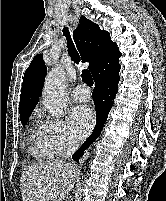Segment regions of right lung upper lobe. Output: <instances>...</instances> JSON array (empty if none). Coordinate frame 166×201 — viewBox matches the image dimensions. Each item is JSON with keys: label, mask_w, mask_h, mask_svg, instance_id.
Returning <instances> with one entry per match:
<instances>
[{"label": "right lung upper lobe", "mask_w": 166, "mask_h": 201, "mask_svg": "<svg viewBox=\"0 0 166 201\" xmlns=\"http://www.w3.org/2000/svg\"><path fill=\"white\" fill-rule=\"evenodd\" d=\"M83 62H89V70L95 79L110 64L118 63L121 52L111 41L109 32L82 16L73 33ZM46 66L42 55H36L25 71L19 104L20 118L30 116L41 94Z\"/></svg>", "instance_id": "1"}]
</instances>
